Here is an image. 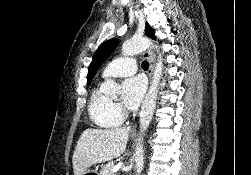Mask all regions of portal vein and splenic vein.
Instances as JSON below:
<instances>
[{
	"mask_svg": "<svg viewBox=\"0 0 251 175\" xmlns=\"http://www.w3.org/2000/svg\"><path fill=\"white\" fill-rule=\"evenodd\" d=\"M121 165H123V163H117V165H114L112 171L113 173H116V171H118V169H120Z\"/></svg>",
	"mask_w": 251,
	"mask_h": 175,
	"instance_id": "portal-vein-and-splenic-vein-1",
	"label": "portal vein and splenic vein"
}]
</instances>
